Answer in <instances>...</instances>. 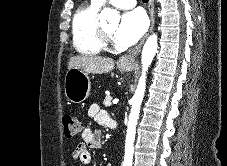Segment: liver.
<instances>
[{
	"label": "liver",
	"instance_id": "1",
	"mask_svg": "<svg viewBox=\"0 0 227 166\" xmlns=\"http://www.w3.org/2000/svg\"><path fill=\"white\" fill-rule=\"evenodd\" d=\"M114 66L115 63L111 58L92 55H78L70 58L68 70L71 68H77L86 73L103 74L112 71Z\"/></svg>",
	"mask_w": 227,
	"mask_h": 166
}]
</instances>
